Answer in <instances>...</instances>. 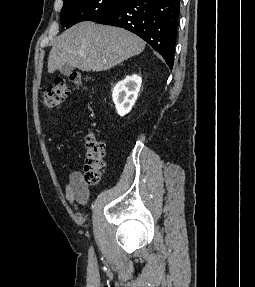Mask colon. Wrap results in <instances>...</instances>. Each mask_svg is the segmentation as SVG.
<instances>
[{"instance_id":"5ec220e1","label":"colon","mask_w":255,"mask_h":287,"mask_svg":"<svg viewBox=\"0 0 255 287\" xmlns=\"http://www.w3.org/2000/svg\"><path fill=\"white\" fill-rule=\"evenodd\" d=\"M84 87L81 75L72 72L68 81L56 79L43 94L42 103L46 109L58 107L74 89ZM84 181L90 186H97L101 182L104 168L105 144L95 134L89 133L85 139Z\"/></svg>"}]
</instances>
